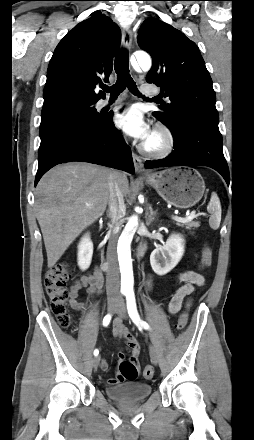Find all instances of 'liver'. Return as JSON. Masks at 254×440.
I'll list each match as a JSON object with an SVG mask.
<instances>
[{"mask_svg": "<svg viewBox=\"0 0 254 440\" xmlns=\"http://www.w3.org/2000/svg\"><path fill=\"white\" fill-rule=\"evenodd\" d=\"M115 172L123 195H128L126 174ZM111 173L106 167L74 162L52 168L39 181L35 208L48 268L57 263L85 228L104 214Z\"/></svg>", "mask_w": 254, "mask_h": 440, "instance_id": "obj_1", "label": "liver"}]
</instances>
